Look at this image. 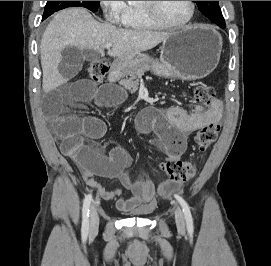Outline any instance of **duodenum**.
Listing matches in <instances>:
<instances>
[{
  "label": "duodenum",
  "mask_w": 271,
  "mask_h": 266,
  "mask_svg": "<svg viewBox=\"0 0 271 266\" xmlns=\"http://www.w3.org/2000/svg\"><path fill=\"white\" fill-rule=\"evenodd\" d=\"M125 64L126 61L123 59H118L113 62L109 75L110 81H117L123 75Z\"/></svg>",
  "instance_id": "obj_1"
}]
</instances>
